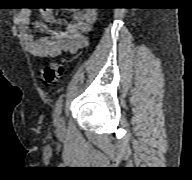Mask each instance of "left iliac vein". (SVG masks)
Instances as JSON below:
<instances>
[{
    "mask_svg": "<svg viewBox=\"0 0 192 180\" xmlns=\"http://www.w3.org/2000/svg\"><path fill=\"white\" fill-rule=\"evenodd\" d=\"M56 126H57V130L58 131L64 130V128H65V120H64L63 116H61V115L58 116Z\"/></svg>",
    "mask_w": 192,
    "mask_h": 180,
    "instance_id": "obj_1",
    "label": "left iliac vein"
}]
</instances>
